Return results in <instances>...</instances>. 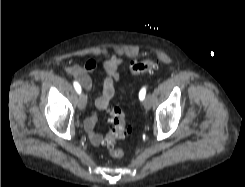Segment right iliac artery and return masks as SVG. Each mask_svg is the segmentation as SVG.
Returning a JSON list of instances; mask_svg holds the SVG:
<instances>
[{
  "instance_id": "1",
  "label": "right iliac artery",
  "mask_w": 245,
  "mask_h": 187,
  "mask_svg": "<svg viewBox=\"0 0 245 187\" xmlns=\"http://www.w3.org/2000/svg\"><path fill=\"white\" fill-rule=\"evenodd\" d=\"M75 90L77 91L78 94L81 93V86L78 82L74 81L73 83Z\"/></svg>"
}]
</instances>
